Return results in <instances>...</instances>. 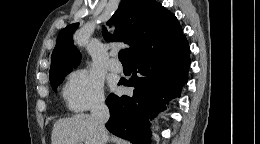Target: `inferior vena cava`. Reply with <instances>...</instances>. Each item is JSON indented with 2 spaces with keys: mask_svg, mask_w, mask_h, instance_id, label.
<instances>
[{
  "mask_svg": "<svg viewBox=\"0 0 260 144\" xmlns=\"http://www.w3.org/2000/svg\"><path fill=\"white\" fill-rule=\"evenodd\" d=\"M91 116L95 121L96 128L100 133L105 132V123L109 119V109L104 99H98L91 108ZM105 144V142H101Z\"/></svg>",
  "mask_w": 260,
  "mask_h": 144,
  "instance_id": "1",
  "label": "inferior vena cava"
}]
</instances>
